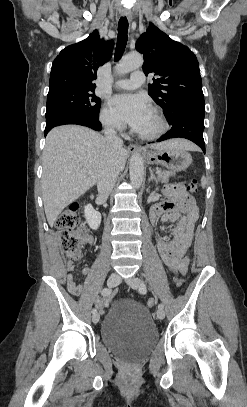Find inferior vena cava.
<instances>
[{
    "mask_svg": "<svg viewBox=\"0 0 247 407\" xmlns=\"http://www.w3.org/2000/svg\"><path fill=\"white\" fill-rule=\"evenodd\" d=\"M105 139L107 143L112 148H120L123 146V140L116 135L115 130L112 127L107 126L104 130ZM119 171L113 166H107L101 173L98 182L97 188L99 195L103 198H107L115 185Z\"/></svg>",
    "mask_w": 247,
    "mask_h": 407,
    "instance_id": "obj_1",
    "label": "inferior vena cava"
}]
</instances>
